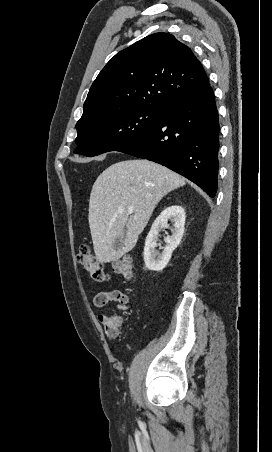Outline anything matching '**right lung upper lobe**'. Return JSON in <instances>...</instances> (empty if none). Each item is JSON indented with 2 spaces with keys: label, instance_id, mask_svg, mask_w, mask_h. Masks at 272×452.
Returning a JSON list of instances; mask_svg holds the SVG:
<instances>
[{
  "label": "right lung upper lobe",
  "instance_id": "1",
  "mask_svg": "<svg viewBox=\"0 0 272 452\" xmlns=\"http://www.w3.org/2000/svg\"><path fill=\"white\" fill-rule=\"evenodd\" d=\"M207 82L202 64L186 45L167 33L152 34L106 64L78 122L135 107L163 109Z\"/></svg>",
  "mask_w": 272,
  "mask_h": 452
}]
</instances>
